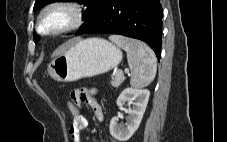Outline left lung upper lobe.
<instances>
[{"instance_id": "left-lung-upper-lobe-1", "label": "left lung upper lobe", "mask_w": 227, "mask_h": 142, "mask_svg": "<svg viewBox=\"0 0 227 142\" xmlns=\"http://www.w3.org/2000/svg\"><path fill=\"white\" fill-rule=\"evenodd\" d=\"M56 1L59 0H36L33 10H37L48 3ZM75 1L84 4L86 7L82 14L83 18L85 19V22L82 26L90 22L92 18L95 16L96 12L106 2V0H75ZM38 39L39 38L36 35H34V41L37 42Z\"/></svg>"}]
</instances>
